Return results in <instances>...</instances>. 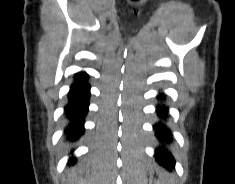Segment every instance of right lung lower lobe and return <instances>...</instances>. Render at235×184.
<instances>
[{
    "label": "right lung lower lobe",
    "instance_id": "right-lung-lower-lobe-1",
    "mask_svg": "<svg viewBox=\"0 0 235 184\" xmlns=\"http://www.w3.org/2000/svg\"><path fill=\"white\" fill-rule=\"evenodd\" d=\"M89 76L85 73H78L74 78L71 89L68 94V103L65 107L66 117L69 120L66 131L67 138L76 141L84 134V121L88 113L90 84ZM76 158H71L69 163L74 164Z\"/></svg>",
    "mask_w": 235,
    "mask_h": 184
}]
</instances>
